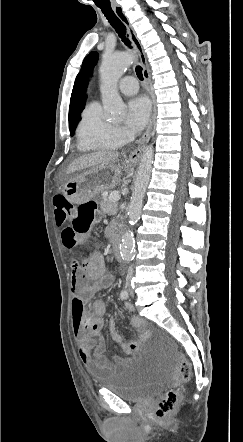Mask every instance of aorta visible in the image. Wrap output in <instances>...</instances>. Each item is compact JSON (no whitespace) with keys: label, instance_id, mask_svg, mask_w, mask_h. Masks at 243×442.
Listing matches in <instances>:
<instances>
[{"label":"aorta","instance_id":"aorta-1","mask_svg":"<svg viewBox=\"0 0 243 442\" xmlns=\"http://www.w3.org/2000/svg\"><path fill=\"white\" fill-rule=\"evenodd\" d=\"M132 65V57L128 53L107 55L103 58L100 75L102 80L103 106L110 117H120L126 106L122 101L116 83L123 73ZM153 165V146L149 145L141 157L134 190L128 206L129 224L133 226L140 218L143 200L150 181ZM120 255L123 260L130 261L134 255V235L129 229L122 236Z\"/></svg>","mask_w":243,"mask_h":442}]
</instances>
